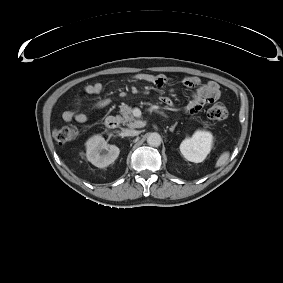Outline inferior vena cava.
<instances>
[{"label": "inferior vena cava", "instance_id": "obj_1", "mask_svg": "<svg viewBox=\"0 0 283 283\" xmlns=\"http://www.w3.org/2000/svg\"><path fill=\"white\" fill-rule=\"evenodd\" d=\"M138 134H139V132L134 130V129H125L124 130L125 136H137Z\"/></svg>", "mask_w": 283, "mask_h": 283}]
</instances>
